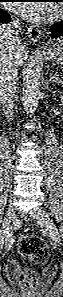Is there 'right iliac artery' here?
Here are the masks:
<instances>
[{"label":"right iliac artery","instance_id":"1","mask_svg":"<svg viewBox=\"0 0 63 297\" xmlns=\"http://www.w3.org/2000/svg\"><path fill=\"white\" fill-rule=\"evenodd\" d=\"M1 233H2V238H3L4 235H5L6 237L11 236L12 233H13L12 227L7 228V229L4 230V231H1Z\"/></svg>","mask_w":63,"mask_h":297}]
</instances>
